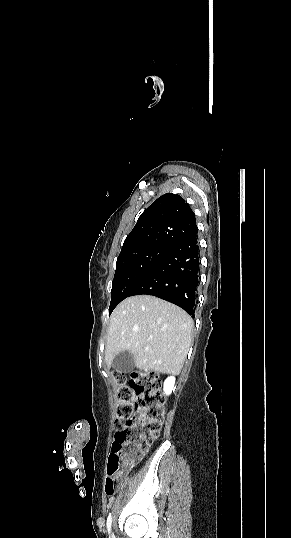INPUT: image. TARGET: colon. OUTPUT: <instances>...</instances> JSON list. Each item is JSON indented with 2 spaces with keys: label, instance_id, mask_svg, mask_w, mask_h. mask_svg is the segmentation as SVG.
I'll return each instance as SVG.
<instances>
[{
  "label": "colon",
  "instance_id": "5ec220e1",
  "mask_svg": "<svg viewBox=\"0 0 291 538\" xmlns=\"http://www.w3.org/2000/svg\"><path fill=\"white\" fill-rule=\"evenodd\" d=\"M117 418L106 467L105 491L113 494L125 472L157 438L165 417L160 381L152 371L117 376Z\"/></svg>",
  "mask_w": 291,
  "mask_h": 538
}]
</instances>
